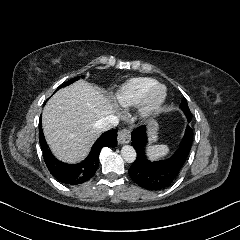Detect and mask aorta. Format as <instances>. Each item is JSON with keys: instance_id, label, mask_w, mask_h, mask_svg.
I'll return each mask as SVG.
<instances>
[{"instance_id": "obj_1", "label": "aorta", "mask_w": 240, "mask_h": 240, "mask_svg": "<svg viewBox=\"0 0 240 240\" xmlns=\"http://www.w3.org/2000/svg\"><path fill=\"white\" fill-rule=\"evenodd\" d=\"M121 155L127 163H133L136 159V151L130 145H125L122 147Z\"/></svg>"}]
</instances>
